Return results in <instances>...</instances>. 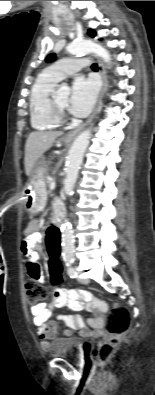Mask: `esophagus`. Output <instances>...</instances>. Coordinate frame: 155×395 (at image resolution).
<instances>
[{"label": "esophagus", "instance_id": "esophagus-1", "mask_svg": "<svg viewBox=\"0 0 155 395\" xmlns=\"http://www.w3.org/2000/svg\"><path fill=\"white\" fill-rule=\"evenodd\" d=\"M92 58L97 62L98 70H99V73H100L101 79H102V87H101V91H100V94L98 97V101H97L96 107H95L92 115L88 118V120L85 123H83L81 126L68 132L65 136L66 140H73L79 134V132L93 120V118L97 114L102 97L107 89V76H106L105 68H104L103 64L101 63V61L96 56H92Z\"/></svg>", "mask_w": 155, "mask_h": 395}]
</instances>
